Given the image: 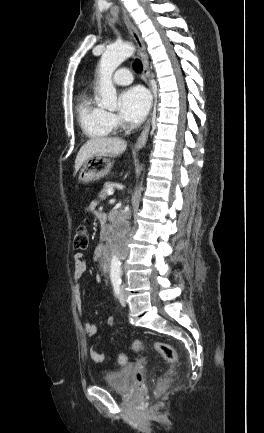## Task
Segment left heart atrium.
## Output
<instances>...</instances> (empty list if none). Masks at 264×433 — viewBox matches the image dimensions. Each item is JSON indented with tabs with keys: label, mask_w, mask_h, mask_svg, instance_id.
Returning <instances> with one entry per match:
<instances>
[{
	"label": "left heart atrium",
	"mask_w": 264,
	"mask_h": 433,
	"mask_svg": "<svg viewBox=\"0 0 264 433\" xmlns=\"http://www.w3.org/2000/svg\"><path fill=\"white\" fill-rule=\"evenodd\" d=\"M150 107L147 91L139 86L123 91L119 97V115L128 123L141 122Z\"/></svg>",
	"instance_id": "left-heart-atrium-1"
}]
</instances>
